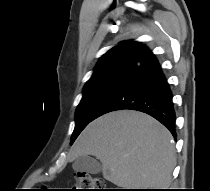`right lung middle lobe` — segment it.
I'll return each mask as SVG.
<instances>
[{"instance_id":"1","label":"right lung middle lobe","mask_w":210,"mask_h":191,"mask_svg":"<svg viewBox=\"0 0 210 191\" xmlns=\"http://www.w3.org/2000/svg\"><path fill=\"white\" fill-rule=\"evenodd\" d=\"M130 58L128 55L118 56L95 68L92 77L84 86L83 97L76 109L75 129L70 144H73L88 123L95 119L99 105L118 81Z\"/></svg>"}]
</instances>
